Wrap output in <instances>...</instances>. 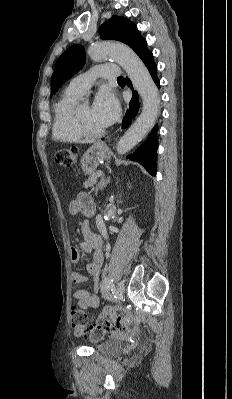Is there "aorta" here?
<instances>
[{
  "label": "aorta",
  "instance_id": "aorta-1",
  "mask_svg": "<svg viewBox=\"0 0 232 399\" xmlns=\"http://www.w3.org/2000/svg\"><path fill=\"white\" fill-rule=\"evenodd\" d=\"M88 53L93 60H101L106 57L114 59L127 73L142 99L141 114L117 144L118 154L124 155L133 149L153 128L159 112L158 89L148 69L128 46L111 42L94 43L89 47ZM114 214L115 207L110 206L104 219L109 220Z\"/></svg>",
  "mask_w": 232,
  "mask_h": 399
}]
</instances>
